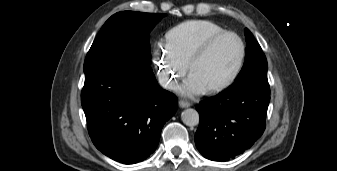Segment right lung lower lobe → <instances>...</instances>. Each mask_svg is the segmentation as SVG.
Segmentation results:
<instances>
[{"mask_svg":"<svg viewBox=\"0 0 337 171\" xmlns=\"http://www.w3.org/2000/svg\"><path fill=\"white\" fill-rule=\"evenodd\" d=\"M81 103L93 144L124 164L148 158L177 97L159 87L150 67L110 61L85 71Z\"/></svg>","mask_w":337,"mask_h":171,"instance_id":"1","label":"right lung lower lobe"}]
</instances>
